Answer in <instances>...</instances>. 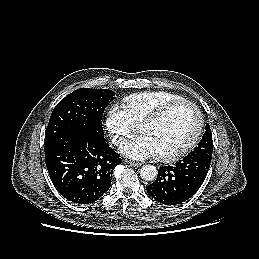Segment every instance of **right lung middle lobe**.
<instances>
[{
	"mask_svg": "<svg viewBox=\"0 0 259 259\" xmlns=\"http://www.w3.org/2000/svg\"><path fill=\"white\" fill-rule=\"evenodd\" d=\"M115 98V92L109 89L81 88L73 91L53 109L44 144L72 132L103 138L102 116Z\"/></svg>",
	"mask_w": 259,
	"mask_h": 259,
	"instance_id": "dd1d6c3e",
	"label": "right lung middle lobe"
}]
</instances>
